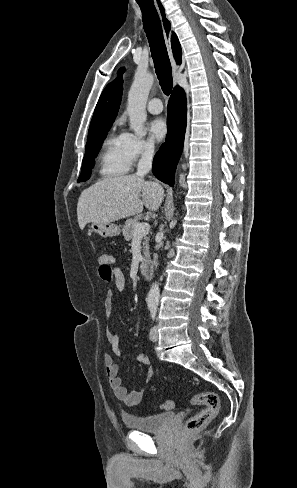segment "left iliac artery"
<instances>
[{
  "label": "left iliac artery",
  "mask_w": 297,
  "mask_h": 488,
  "mask_svg": "<svg viewBox=\"0 0 297 488\" xmlns=\"http://www.w3.org/2000/svg\"><path fill=\"white\" fill-rule=\"evenodd\" d=\"M155 314H156V308H152L151 309V316H152V319L155 318Z\"/></svg>",
  "instance_id": "44dca946"
}]
</instances>
